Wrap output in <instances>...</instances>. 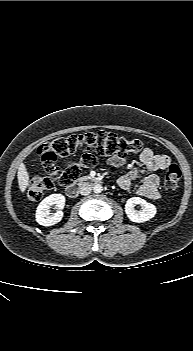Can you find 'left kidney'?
<instances>
[{
  "mask_svg": "<svg viewBox=\"0 0 193 351\" xmlns=\"http://www.w3.org/2000/svg\"><path fill=\"white\" fill-rule=\"evenodd\" d=\"M139 204L141 206V210H136L135 206ZM157 210L156 207L145 201L140 197H132L127 200L125 205V213L130 221L136 223H143L152 219Z\"/></svg>",
  "mask_w": 193,
  "mask_h": 351,
  "instance_id": "5707ae66",
  "label": "left kidney"
}]
</instances>
